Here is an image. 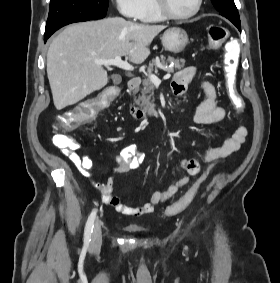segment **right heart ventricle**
Instances as JSON below:
<instances>
[{
    "mask_svg": "<svg viewBox=\"0 0 280 283\" xmlns=\"http://www.w3.org/2000/svg\"><path fill=\"white\" fill-rule=\"evenodd\" d=\"M163 18L155 9L153 0H145V8L140 20L145 23L160 22Z\"/></svg>",
    "mask_w": 280,
    "mask_h": 283,
    "instance_id": "e07e8e85",
    "label": "right heart ventricle"
}]
</instances>
